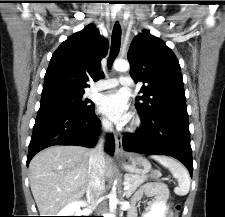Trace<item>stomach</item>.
I'll return each mask as SVG.
<instances>
[{"label": "stomach", "instance_id": "1", "mask_svg": "<svg viewBox=\"0 0 225 217\" xmlns=\"http://www.w3.org/2000/svg\"><path fill=\"white\" fill-rule=\"evenodd\" d=\"M121 164L130 174L144 175L151 170L150 162L145 157L134 153L125 154Z\"/></svg>", "mask_w": 225, "mask_h": 217}]
</instances>
